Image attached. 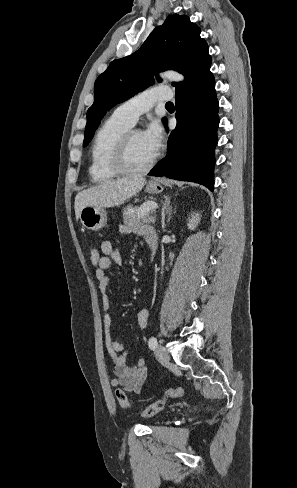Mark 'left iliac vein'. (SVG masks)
Returning <instances> with one entry per match:
<instances>
[{
    "label": "left iliac vein",
    "instance_id": "1",
    "mask_svg": "<svg viewBox=\"0 0 297 488\" xmlns=\"http://www.w3.org/2000/svg\"><path fill=\"white\" fill-rule=\"evenodd\" d=\"M154 355L156 359L161 363H168L170 360L168 351L162 345L156 346Z\"/></svg>",
    "mask_w": 297,
    "mask_h": 488
}]
</instances>
